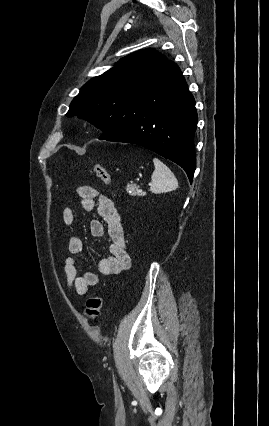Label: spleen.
Listing matches in <instances>:
<instances>
[{"instance_id": "3e777b00", "label": "spleen", "mask_w": 269, "mask_h": 426, "mask_svg": "<svg viewBox=\"0 0 269 426\" xmlns=\"http://www.w3.org/2000/svg\"><path fill=\"white\" fill-rule=\"evenodd\" d=\"M155 170L151 176L150 191L154 194H160L176 190L178 181L172 171L159 159H153Z\"/></svg>"}]
</instances>
